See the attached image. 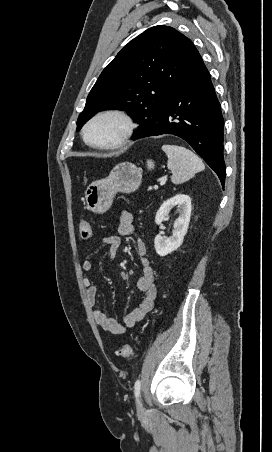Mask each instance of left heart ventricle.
<instances>
[{
  "label": "left heart ventricle",
  "instance_id": "left-heart-ventricle-1",
  "mask_svg": "<svg viewBox=\"0 0 272 452\" xmlns=\"http://www.w3.org/2000/svg\"><path fill=\"white\" fill-rule=\"evenodd\" d=\"M121 132V124L115 119H102L95 122L87 132L91 142L106 143L117 138Z\"/></svg>",
  "mask_w": 272,
  "mask_h": 452
}]
</instances>
